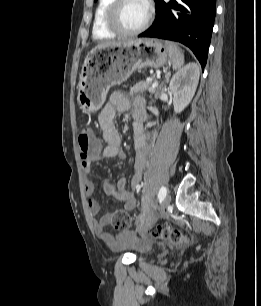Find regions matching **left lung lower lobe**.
Wrapping results in <instances>:
<instances>
[{"mask_svg":"<svg viewBox=\"0 0 261 306\" xmlns=\"http://www.w3.org/2000/svg\"><path fill=\"white\" fill-rule=\"evenodd\" d=\"M153 25L138 37H157L188 46L204 69L216 13V0H155Z\"/></svg>","mask_w":261,"mask_h":306,"instance_id":"left-lung-lower-lobe-1","label":"left lung lower lobe"}]
</instances>
